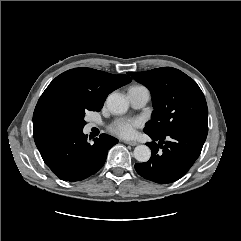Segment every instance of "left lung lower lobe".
<instances>
[{
    "label": "left lung lower lobe",
    "mask_w": 241,
    "mask_h": 241,
    "mask_svg": "<svg viewBox=\"0 0 241 241\" xmlns=\"http://www.w3.org/2000/svg\"><path fill=\"white\" fill-rule=\"evenodd\" d=\"M207 133L208 127L204 126H195L168 135L148 133L154 141L159 140V144L147 143L152 152L151 158L148 162L135 164L137 173L159 184L179 180L199 157Z\"/></svg>",
    "instance_id": "0a47b994"
}]
</instances>
